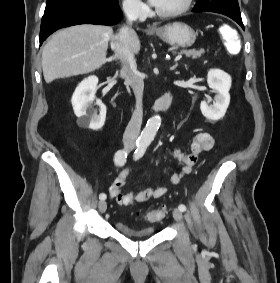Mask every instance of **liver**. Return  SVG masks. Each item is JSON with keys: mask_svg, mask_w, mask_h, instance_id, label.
<instances>
[{"mask_svg": "<svg viewBox=\"0 0 280 283\" xmlns=\"http://www.w3.org/2000/svg\"><path fill=\"white\" fill-rule=\"evenodd\" d=\"M113 38V29L102 25H77L58 31L43 48L45 81L51 83L99 69L107 61L108 43ZM130 47L136 54L141 48L134 30H130Z\"/></svg>", "mask_w": 280, "mask_h": 283, "instance_id": "6515ba94", "label": "liver"}]
</instances>
